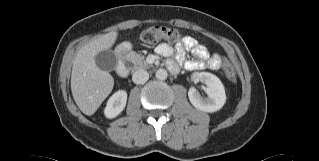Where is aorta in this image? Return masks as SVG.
I'll return each mask as SVG.
<instances>
[{
    "mask_svg": "<svg viewBox=\"0 0 319 161\" xmlns=\"http://www.w3.org/2000/svg\"><path fill=\"white\" fill-rule=\"evenodd\" d=\"M156 78L159 79V80H165L167 79V76H168V73L165 69H158L156 71Z\"/></svg>",
    "mask_w": 319,
    "mask_h": 161,
    "instance_id": "1",
    "label": "aorta"
}]
</instances>
